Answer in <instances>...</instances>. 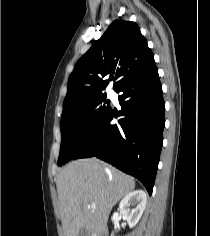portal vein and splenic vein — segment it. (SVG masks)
I'll use <instances>...</instances> for the list:
<instances>
[{
    "label": "portal vein and splenic vein",
    "instance_id": "portal-vein-and-splenic-vein-1",
    "mask_svg": "<svg viewBox=\"0 0 210 236\" xmlns=\"http://www.w3.org/2000/svg\"><path fill=\"white\" fill-rule=\"evenodd\" d=\"M91 207H92V208H95V204H92Z\"/></svg>",
    "mask_w": 210,
    "mask_h": 236
}]
</instances>
